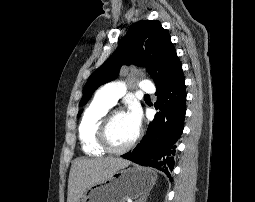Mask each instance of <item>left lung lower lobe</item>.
Returning a JSON list of instances; mask_svg holds the SVG:
<instances>
[{
  "mask_svg": "<svg viewBox=\"0 0 255 202\" xmlns=\"http://www.w3.org/2000/svg\"><path fill=\"white\" fill-rule=\"evenodd\" d=\"M155 109L146 136L123 158L143 166H151L169 177L174 167L175 148L184 128L186 87L183 72L163 89L156 91ZM171 179V178H170Z\"/></svg>",
  "mask_w": 255,
  "mask_h": 202,
  "instance_id": "1",
  "label": "left lung lower lobe"
}]
</instances>
